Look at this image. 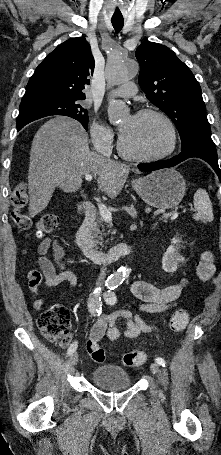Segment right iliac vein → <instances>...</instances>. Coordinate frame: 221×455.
I'll return each instance as SVG.
<instances>
[{
	"instance_id": "1",
	"label": "right iliac vein",
	"mask_w": 221,
	"mask_h": 455,
	"mask_svg": "<svg viewBox=\"0 0 221 455\" xmlns=\"http://www.w3.org/2000/svg\"><path fill=\"white\" fill-rule=\"evenodd\" d=\"M77 363H78V354L76 352H74L69 359V364L71 366H76Z\"/></svg>"
}]
</instances>
